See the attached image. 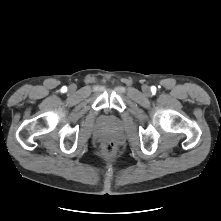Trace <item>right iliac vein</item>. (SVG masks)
<instances>
[{"label":"right iliac vein","mask_w":221,"mask_h":221,"mask_svg":"<svg viewBox=\"0 0 221 221\" xmlns=\"http://www.w3.org/2000/svg\"><path fill=\"white\" fill-rule=\"evenodd\" d=\"M69 90H70V91H74V90H75V87H74V86H71V87L69 88Z\"/></svg>","instance_id":"right-iliac-vein-1"}]
</instances>
